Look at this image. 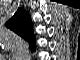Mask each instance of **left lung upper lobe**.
<instances>
[{
    "label": "left lung upper lobe",
    "instance_id": "left-lung-upper-lobe-1",
    "mask_svg": "<svg viewBox=\"0 0 80 60\" xmlns=\"http://www.w3.org/2000/svg\"><path fill=\"white\" fill-rule=\"evenodd\" d=\"M6 26L24 39H27L32 49L35 48L32 21L30 15L24 9H18L13 17L6 23Z\"/></svg>",
    "mask_w": 80,
    "mask_h": 60
}]
</instances>
